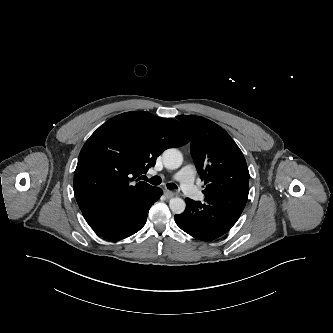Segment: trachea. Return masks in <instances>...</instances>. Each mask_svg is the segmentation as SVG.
Wrapping results in <instances>:
<instances>
[{"label":"trachea","mask_w":333,"mask_h":333,"mask_svg":"<svg viewBox=\"0 0 333 333\" xmlns=\"http://www.w3.org/2000/svg\"><path fill=\"white\" fill-rule=\"evenodd\" d=\"M144 180L148 181L152 185H159L162 182V179L159 176H154L150 179H148L147 177H144ZM167 188L174 190V189H177L178 187L174 183H168Z\"/></svg>","instance_id":"3493384b"}]
</instances>
